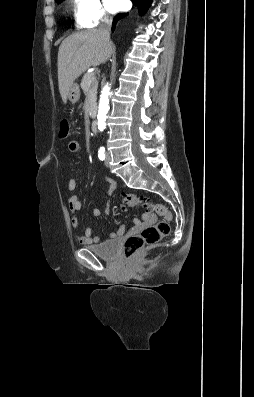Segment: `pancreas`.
Segmentation results:
<instances>
[{"instance_id": "1", "label": "pancreas", "mask_w": 254, "mask_h": 397, "mask_svg": "<svg viewBox=\"0 0 254 397\" xmlns=\"http://www.w3.org/2000/svg\"><path fill=\"white\" fill-rule=\"evenodd\" d=\"M98 81L94 73H85L81 80V88L87 97L89 104V115L94 117L96 107Z\"/></svg>"}]
</instances>
